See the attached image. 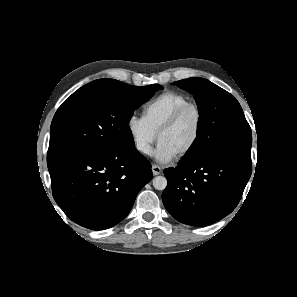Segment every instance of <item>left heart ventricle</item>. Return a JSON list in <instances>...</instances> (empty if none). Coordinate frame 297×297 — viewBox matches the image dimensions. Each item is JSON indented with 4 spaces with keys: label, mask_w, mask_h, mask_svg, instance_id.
Instances as JSON below:
<instances>
[{
    "label": "left heart ventricle",
    "mask_w": 297,
    "mask_h": 297,
    "mask_svg": "<svg viewBox=\"0 0 297 297\" xmlns=\"http://www.w3.org/2000/svg\"><path fill=\"white\" fill-rule=\"evenodd\" d=\"M196 122L195 113L188 111L175 127L160 136L159 141L165 143L178 155L193 139Z\"/></svg>",
    "instance_id": "obj_1"
}]
</instances>
